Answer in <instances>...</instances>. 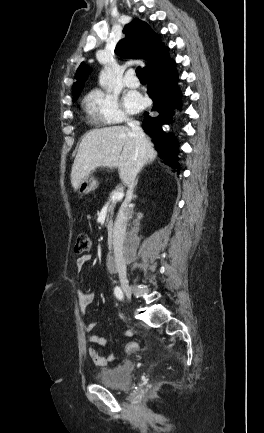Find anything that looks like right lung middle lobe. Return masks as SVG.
Wrapping results in <instances>:
<instances>
[{
  "label": "right lung middle lobe",
  "mask_w": 264,
  "mask_h": 433,
  "mask_svg": "<svg viewBox=\"0 0 264 433\" xmlns=\"http://www.w3.org/2000/svg\"><path fill=\"white\" fill-rule=\"evenodd\" d=\"M77 100V98L73 99V102H75Z\"/></svg>",
  "instance_id": "1"
}]
</instances>
